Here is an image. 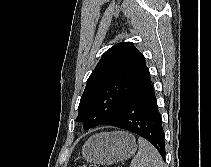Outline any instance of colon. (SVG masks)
<instances>
[{"label": "colon", "instance_id": "colon-1", "mask_svg": "<svg viewBox=\"0 0 211 167\" xmlns=\"http://www.w3.org/2000/svg\"><path fill=\"white\" fill-rule=\"evenodd\" d=\"M78 167H96V166L91 165V164H82V165H80Z\"/></svg>", "mask_w": 211, "mask_h": 167}]
</instances>
